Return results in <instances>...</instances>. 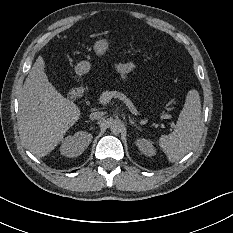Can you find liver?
Here are the masks:
<instances>
[{"label": "liver", "mask_w": 233, "mask_h": 233, "mask_svg": "<svg viewBox=\"0 0 233 233\" xmlns=\"http://www.w3.org/2000/svg\"><path fill=\"white\" fill-rule=\"evenodd\" d=\"M20 134L30 152L44 157L80 118V108L49 82L38 56L24 81L19 99Z\"/></svg>", "instance_id": "1"}]
</instances>
